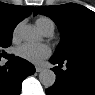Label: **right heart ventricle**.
I'll return each mask as SVG.
<instances>
[{"label": "right heart ventricle", "instance_id": "1", "mask_svg": "<svg viewBox=\"0 0 95 95\" xmlns=\"http://www.w3.org/2000/svg\"><path fill=\"white\" fill-rule=\"evenodd\" d=\"M36 25L42 32L48 29L54 30V22L48 17H39L36 20Z\"/></svg>", "mask_w": 95, "mask_h": 95}]
</instances>
